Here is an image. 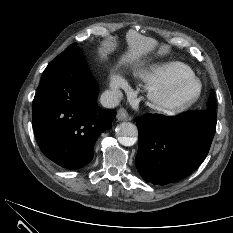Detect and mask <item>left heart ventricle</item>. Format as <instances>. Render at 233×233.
Listing matches in <instances>:
<instances>
[{"instance_id": "obj_1", "label": "left heart ventricle", "mask_w": 233, "mask_h": 233, "mask_svg": "<svg viewBox=\"0 0 233 233\" xmlns=\"http://www.w3.org/2000/svg\"><path fill=\"white\" fill-rule=\"evenodd\" d=\"M196 90L195 85L189 84L183 86L177 93L178 98H187L194 94Z\"/></svg>"}]
</instances>
